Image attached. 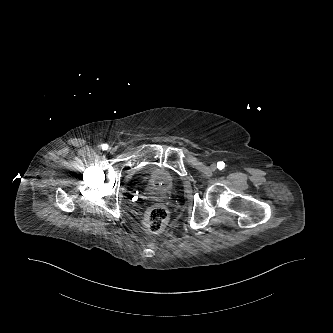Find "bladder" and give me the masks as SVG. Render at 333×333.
Listing matches in <instances>:
<instances>
[{
    "label": "bladder",
    "mask_w": 333,
    "mask_h": 333,
    "mask_svg": "<svg viewBox=\"0 0 333 333\" xmlns=\"http://www.w3.org/2000/svg\"><path fill=\"white\" fill-rule=\"evenodd\" d=\"M149 188L157 194H170L176 187V178L165 168L150 167L145 171Z\"/></svg>",
    "instance_id": "obj_1"
}]
</instances>
